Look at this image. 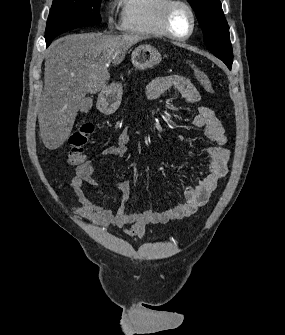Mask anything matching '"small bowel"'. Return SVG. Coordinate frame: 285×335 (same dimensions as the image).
Returning <instances> with one entry per match:
<instances>
[{"label":"small bowel","instance_id":"obj_1","mask_svg":"<svg viewBox=\"0 0 285 335\" xmlns=\"http://www.w3.org/2000/svg\"><path fill=\"white\" fill-rule=\"evenodd\" d=\"M175 89L190 104H197L200 96L192 82L180 75L155 78L147 89L151 100H157L163 93ZM197 128L205 130V136L212 143L207 150V173L194 186L185 190V201L164 211L146 210L129 213L124 207L116 210L100 208L87 197L86 185L97 186L93 177L94 165L86 162L80 165L71 181L72 189L78 198L79 206L73 208V213L80 219H88L102 228L128 226L126 232L130 237L141 238L146 228L154 224H164L169 221L187 218L196 213L199 207L205 205L217 184L227 173L230 151L225 147L227 137L224 127L214 111L206 106H197V112L192 120ZM129 130L124 129L113 145L106 147L102 155L109 158L121 159L127 154ZM118 190L123 198L130 192L128 181L118 184Z\"/></svg>","mask_w":285,"mask_h":335}]
</instances>
